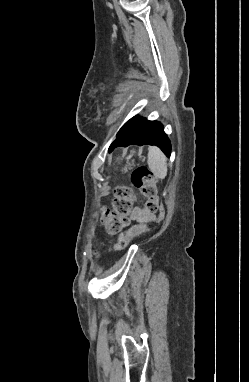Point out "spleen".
I'll use <instances>...</instances> for the list:
<instances>
[{
    "label": "spleen",
    "mask_w": 249,
    "mask_h": 382,
    "mask_svg": "<svg viewBox=\"0 0 249 382\" xmlns=\"http://www.w3.org/2000/svg\"><path fill=\"white\" fill-rule=\"evenodd\" d=\"M148 165L151 172L158 178L164 179L167 175V159L158 147H150L148 152Z\"/></svg>",
    "instance_id": "obj_1"
}]
</instances>
